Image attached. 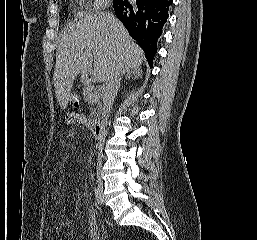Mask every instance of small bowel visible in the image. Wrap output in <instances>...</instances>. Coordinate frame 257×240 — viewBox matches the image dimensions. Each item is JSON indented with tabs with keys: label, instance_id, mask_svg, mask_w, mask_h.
Returning <instances> with one entry per match:
<instances>
[{
	"label": "small bowel",
	"instance_id": "obj_1",
	"mask_svg": "<svg viewBox=\"0 0 257 240\" xmlns=\"http://www.w3.org/2000/svg\"><path fill=\"white\" fill-rule=\"evenodd\" d=\"M69 224H70V223H69L68 220H62V221H61V225L64 226V227L69 226Z\"/></svg>",
	"mask_w": 257,
	"mask_h": 240
}]
</instances>
